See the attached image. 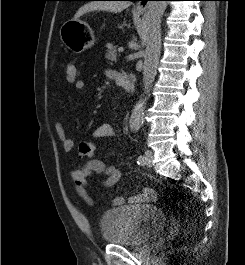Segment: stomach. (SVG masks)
<instances>
[{
  "mask_svg": "<svg viewBox=\"0 0 245 265\" xmlns=\"http://www.w3.org/2000/svg\"><path fill=\"white\" fill-rule=\"evenodd\" d=\"M59 32L64 45L76 54L91 48L96 41L90 26L80 19L66 21Z\"/></svg>",
  "mask_w": 245,
  "mask_h": 265,
  "instance_id": "stomach-1",
  "label": "stomach"
}]
</instances>
